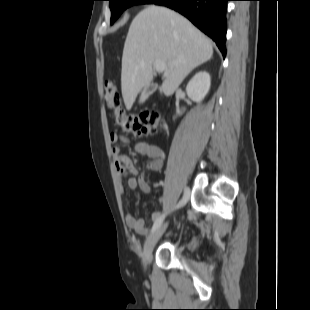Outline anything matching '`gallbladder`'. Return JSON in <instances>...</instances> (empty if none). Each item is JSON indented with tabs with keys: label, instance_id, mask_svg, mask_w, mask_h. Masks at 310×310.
<instances>
[{
	"label": "gallbladder",
	"instance_id": "bac80fb5",
	"mask_svg": "<svg viewBox=\"0 0 310 310\" xmlns=\"http://www.w3.org/2000/svg\"><path fill=\"white\" fill-rule=\"evenodd\" d=\"M156 89H157V84L153 82L150 83L147 87H145L141 93L139 103L140 104L145 103V101L149 98L151 94H153V92H155Z\"/></svg>",
	"mask_w": 310,
	"mask_h": 310
}]
</instances>
